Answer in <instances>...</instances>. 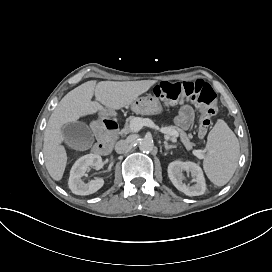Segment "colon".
I'll use <instances>...</instances> for the list:
<instances>
[{"instance_id": "colon-1", "label": "colon", "mask_w": 272, "mask_h": 272, "mask_svg": "<svg viewBox=\"0 0 272 272\" xmlns=\"http://www.w3.org/2000/svg\"><path fill=\"white\" fill-rule=\"evenodd\" d=\"M154 95L168 102L189 101L197 106H204L199 112L198 130L206 134L212 118L217 115V95L212 86L201 80L163 82L154 89Z\"/></svg>"}]
</instances>
